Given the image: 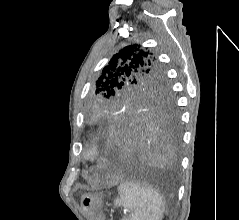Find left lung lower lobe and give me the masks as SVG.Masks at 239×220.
Returning <instances> with one entry per match:
<instances>
[{
    "label": "left lung lower lobe",
    "mask_w": 239,
    "mask_h": 220,
    "mask_svg": "<svg viewBox=\"0 0 239 220\" xmlns=\"http://www.w3.org/2000/svg\"><path fill=\"white\" fill-rule=\"evenodd\" d=\"M95 127L104 135L110 165H167L176 159L180 129L175 112L114 107L98 115Z\"/></svg>",
    "instance_id": "0a47b994"
}]
</instances>
